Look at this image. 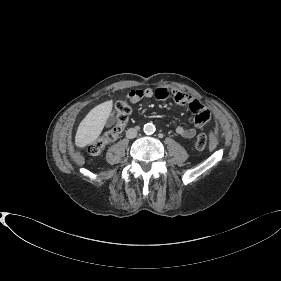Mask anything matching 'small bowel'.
Listing matches in <instances>:
<instances>
[{
	"mask_svg": "<svg viewBox=\"0 0 281 281\" xmlns=\"http://www.w3.org/2000/svg\"><path fill=\"white\" fill-rule=\"evenodd\" d=\"M126 98L131 103H137L142 99H172L178 105L187 106L189 110L194 114V127L185 128L182 126H178L176 128V133L186 139L193 138L198 133V131L203 128L211 115L209 108L198 99L182 91L170 90L165 87L156 89L147 88L132 90L126 95Z\"/></svg>",
	"mask_w": 281,
	"mask_h": 281,
	"instance_id": "c3829d8e",
	"label": "small bowel"
}]
</instances>
